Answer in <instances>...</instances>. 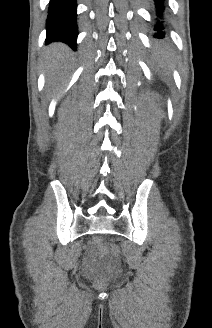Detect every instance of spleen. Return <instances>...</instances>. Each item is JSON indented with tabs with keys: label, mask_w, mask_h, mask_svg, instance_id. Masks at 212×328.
I'll use <instances>...</instances> for the list:
<instances>
[{
	"label": "spleen",
	"mask_w": 212,
	"mask_h": 328,
	"mask_svg": "<svg viewBox=\"0 0 212 328\" xmlns=\"http://www.w3.org/2000/svg\"><path fill=\"white\" fill-rule=\"evenodd\" d=\"M158 58V60H162V62H163V59H161V57L160 56H158L157 57ZM164 60H166V62L168 61V56H165V59ZM165 62V61H164Z\"/></svg>",
	"instance_id": "obj_1"
}]
</instances>
